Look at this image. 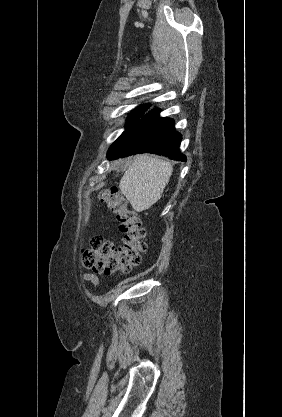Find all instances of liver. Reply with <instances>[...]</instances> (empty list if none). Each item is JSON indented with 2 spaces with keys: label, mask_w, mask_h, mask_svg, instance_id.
Instances as JSON below:
<instances>
[{
  "label": "liver",
  "mask_w": 282,
  "mask_h": 417,
  "mask_svg": "<svg viewBox=\"0 0 282 417\" xmlns=\"http://www.w3.org/2000/svg\"><path fill=\"white\" fill-rule=\"evenodd\" d=\"M173 172L171 162L138 154L124 172L119 188L137 213L147 211L157 202Z\"/></svg>",
  "instance_id": "6515ba94"
}]
</instances>
